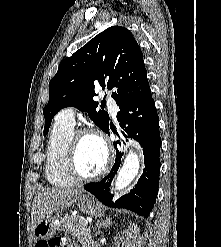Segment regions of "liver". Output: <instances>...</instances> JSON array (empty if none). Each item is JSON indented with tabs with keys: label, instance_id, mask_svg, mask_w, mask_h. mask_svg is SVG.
Masks as SVG:
<instances>
[{
	"label": "liver",
	"instance_id": "obj_1",
	"mask_svg": "<svg viewBox=\"0 0 221 247\" xmlns=\"http://www.w3.org/2000/svg\"><path fill=\"white\" fill-rule=\"evenodd\" d=\"M82 192V189H41L35 196L32 205L31 215L33 228L47 215L74 204Z\"/></svg>",
	"mask_w": 221,
	"mask_h": 247
}]
</instances>
